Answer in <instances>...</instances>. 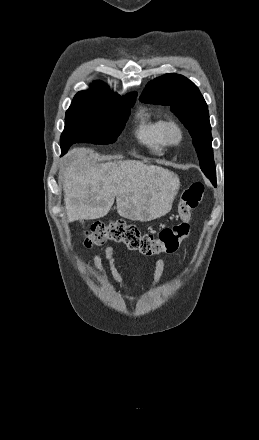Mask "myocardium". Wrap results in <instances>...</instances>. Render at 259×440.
I'll list each match as a JSON object with an SVG mask.
<instances>
[{"instance_id":"obj_1","label":"myocardium","mask_w":259,"mask_h":440,"mask_svg":"<svg viewBox=\"0 0 259 440\" xmlns=\"http://www.w3.org/2000/svg\"><path fill=\"white\" fill-rule=\"evenodd\" d=\"M163 135L168 145H178L184 139V129L178 121L170 119L164 125Z\"/></svg>"}]
</instances>
